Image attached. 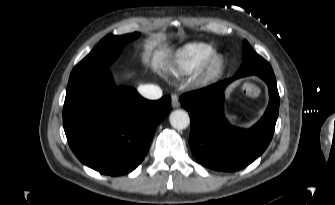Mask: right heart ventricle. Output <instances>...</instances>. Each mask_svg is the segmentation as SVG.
<instances>
[{"label":"right heart ventricle","instance_id":"obj_1","mask_svg":"<svg viewBox=\"0 0 335 205\" xmlns=\"http://www.w3.org/2000/svg\"><path fill=\"white\" fill-rule=\"evenodd\" d=\"M214 52L211 44L204 42L187 43L174 54L170 64L173 73H191L198 69L202 63Z\"/></svg>","mask_w":335,"mask_h":205}]
</instances>
